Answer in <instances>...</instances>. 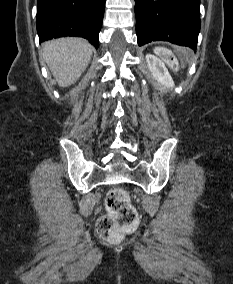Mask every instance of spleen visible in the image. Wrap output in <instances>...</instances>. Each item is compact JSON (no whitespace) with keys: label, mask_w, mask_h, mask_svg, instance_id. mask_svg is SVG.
I'll use <instances>...</instances> for the list:
<instances>
[{"label":"spleen","mask_w":233,"mask_h":284,"mask_svg":"<svg viewBox=\"0 0 233 284\" xmlns=\"http://www.w3.org/2000/svg\"><path fill=\"white\" fill-rule=\"evenodd\" d=\"M154 52L157 55H160L161 57L165 58L171 66H174V64L176 63V60H173V61L170 60V57H174L171 50L164 48V47H156L154 49Z\"/></svg>","instance_id":"3e777b00"}]
</instances>
